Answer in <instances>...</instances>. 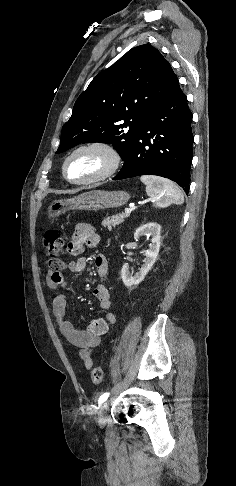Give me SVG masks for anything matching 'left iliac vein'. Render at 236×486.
<instances>
[{
    "label": "left iliac vein",
    "instance_id": "obj_1",
    "mask_svg": "<svg viewBox=\"0 0 236 486\" xmlns=\"http://www.w3.org/2000/svg\"><path fill=\"white\" fill-rule=\"evenodd\" d=\"M108 406H109L108 402H105V403L101 404L100 407H99L98 415H99L100 427H104V425H105V422H106L105 414L108 410Z\"/></svg>",
    "mask_w": 236,
    "mask_h": 486
}]
</instances>
